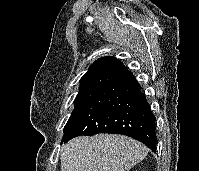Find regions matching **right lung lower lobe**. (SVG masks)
Returning a JSON list of instances; mask_svg holds the SVG:
<instances>
[{"instance_id": "right-lung-lower-lobe-1", "label": "right lung lower lobe", "mask_w": 199, "mask_h": 171, "mask_svg": "<svg viewBox=\"0 0 199 171\" xmlns=\"http://www.w3.org/2000/svg\"><path fill=\"white\" fill-rule=\"evenodd\" d=\"M155 121L140 84L126 70L91 98L68 128L61 144L81 135L114 133L135 138L156 152Z\"/></svg>"}]
</instances>
